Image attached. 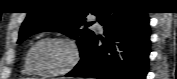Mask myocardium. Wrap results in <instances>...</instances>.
<instances>
[{
    "mask_svg": "<svg viewBox=\"0 0 177 79\" xmlns=\"http://www.w3.org/2000/svg\"><path fill=\"white\" fill-rule=\"evenodd\" d=\"M50 40L66 43L70 47V50H71V58L68 61V63L63 68L56 70V71H44L40 69L36 65L34 61V57H33L34 51L37 48V46L43 42L50 41ZM80 59H81V50L77 42L71 37L63 36V35L45 36L39 39L37 42H35L28 52V61H29V65L32 68V70L35 73H38L40 75H46V76H57V75L66 74L78 65V63L80 62Z\"/></svg>",
    "mask_w": 177,
    "mask_h": 79,
    "instance_id": "1",
    "label": "myocardium"
}]
</instances>
